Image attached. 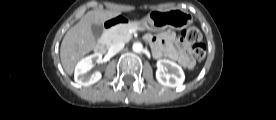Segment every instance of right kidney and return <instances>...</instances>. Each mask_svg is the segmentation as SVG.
I'll return each mask as SVG.
<instances>
[{
	"mask_svg": "<svg viewBox=\"0 0 276 120\" xmlns=\"http://www.w3.org/2000/svg\"><path fill=\"white\" fill-rule=\"evenodd\" d=\"M102 59V55L99 53L92 54L85 57L75 67L74 80L81 86H89L101 79V73L99 71L89 74L90 69L94 62L99 63Z\"/></svg>",
	"mask_w": 276,
	"mask_h": 120,
	"instance_id": "1",
	"label": "right kidney"
}]
</instances>
